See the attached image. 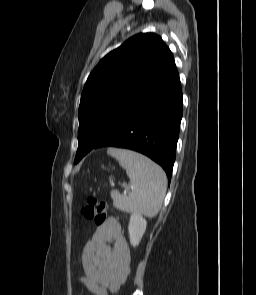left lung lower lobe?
<instances>
[{"label": "left lung lower lobe", "instance_id": "left-lung-lower-lobe-1", "mask_svg": "<svg viewBox=\"0 0 256 295\" xmlns=\"http://www.w3.org/2000/svg\"><path fill=\"white\" fill-rule=\"evenodd\" d=\"M182 111L181 84L176 72L94 148L112 146L140 152L161 165L170 182Z\"/></svg>", "mask_w": 256, "mask_h": 295}]
</instances>
